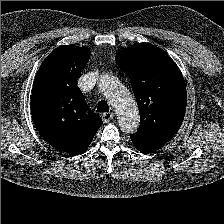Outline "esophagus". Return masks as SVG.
Wrapping results in <instances>:
<instances>
[{
  "mask_svg": "<svg viewBox=\"0 0 224 224\" xmlns=\"http://www.w3.org/2000/svg\"><path fill=\"white\" fill-rule=\"evenodd\" d=\"M114 118V114L112 112H107L102 115V120L104 123L110 122Z\"/></svg>",
  "mask_w": 224,
  "mask_h": 224,
  "instance_id": "esophagus-1",
  "label": "esophagus"
}]
</instances>
